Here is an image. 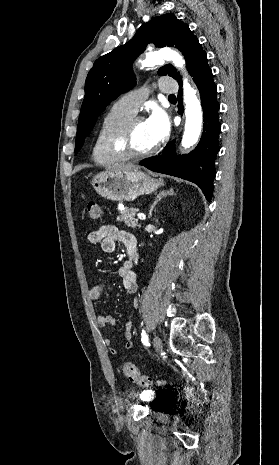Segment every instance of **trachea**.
Returning a JSON list of instances; mask_svg holds the SVG:
<instances>
[{
    "instance_id": "3493384b",
    "label": "trachea",
    "mask_w": 279,
    "mask_h": 465,
    "mask_svg": "<svg viewBox=\"0 0 279 465\" xmlns=\"http://www.w3.org/2000/svg\"><path fill=\"white\" fill-rule=\"evenodd\" d=\"M175 95H169V99H175Z\"/></svg>"
}]
</instances>
